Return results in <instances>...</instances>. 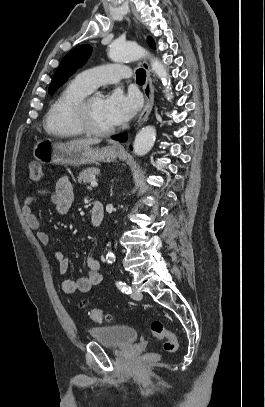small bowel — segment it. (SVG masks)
<instances>
[{"instance_id":"1","label":"small bowel","mask_w":265,"mask_h":407,"mask_svg":"<svg viewBox=\"0 0 265 407\" xmlns=\"http://www.w3.org/2000/svg\"><path fill=\"white\" fill-rule=\"evenodd\" d=\"M47 198L58 214L66 215L69 213L73 203V188L70 179L67 176L60 177L53 191L38 189L28 195L22 207V213L30 229L36 232L37 238L43 245L51 243V237L41 229V224L37 216L32 211V205L40 199ZM54 259L58 265L60 275H65L69 267V258L62 251L54 253ZM102 281V274L98 260L93 256L87 257V276L78 280L63 279L61 288L65 293L81 292L87 293L93 287L98 286Z\"/></svg>"}]
</instances>
